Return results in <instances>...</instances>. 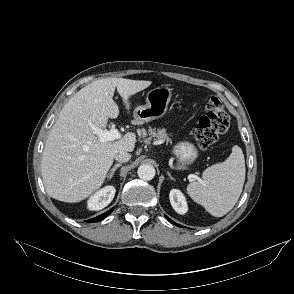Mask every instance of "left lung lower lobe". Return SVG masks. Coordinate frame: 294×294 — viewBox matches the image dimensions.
I'll return each instance as SVG.
<instances>
[{
    "mask_svg": "<svg viewBox=\"0 0 294 294\" xmlns=\"http://www.w3.org/2000/svg\"><path fill=\"white\" fill-rule=\"evenodd\" d=\"M165 217H166L167 220L170 221L171 223H173V224H175V225H177V226H179V227H183V226H181V225L175 223L174 221H172V220H171L170 218H168L167 216H165Z\"/></svg>",
    "mask_w": 294,
    "mask_h": 294,
    "instance_id": "1",
    "label": "left lung lower lobe"
}]
</instances>
